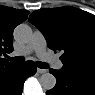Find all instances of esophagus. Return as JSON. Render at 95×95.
Listing matches in <instances>:
<instances>
[{"instance_id":"1","label":"esophagus","mask_w":95,"mask_h":95,"mask_svg":"<svg viewBox=\"0 0 95 95\" xmlns=\"http://www.w3.org/2000/svg\"><path fill=\"white\" fill-rule=\"evenodd\" d=\"M37 72L40 73V74H44L47 72L46 69H40V68H37Z\"/></svg>"}]
</instances>
